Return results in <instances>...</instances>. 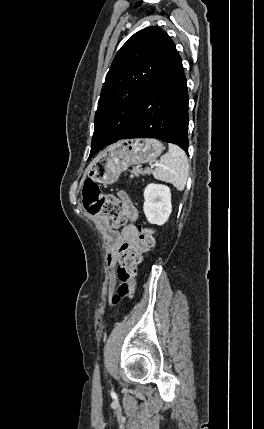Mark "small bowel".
I'll return each instance as SVG.
<instances>
[{"instance_id":"small-bowel-1","label":"small bowel","mask_w":264,"mask_h":429,"mask_svg":"<svg viewBox=\"0 0 264 429\" xmlns=\"http://www.w3.org/2000/svg\"><path fill=\"white\" fill-rule=\"evenodd\" d=\"M118 198L121 202L124 214L130 220V223L121 231L110 228L107 218L94 216L95 223L103 231L104 235L107 263L110 271L109 281L111 285H114L116 282L114 268L117 263L120 250L125 247H133L138 241V230L133 224V221H135L138 216L137 208L125 191H119Z\"/></svg>"}]
</instances>
